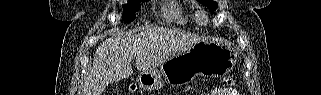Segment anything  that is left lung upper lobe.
Masks as SVG:
<instances>
[{"instance_id":"obj_1","label":"left lung upper lobe","mask_w":321,"mask_h":95,"mask_svg":"<svg viewBox=\"0 0 321 95\" xmlns=\"http://www.w3.org/2000/svg\"><path fill=\"white\" fill-rule=\"evenodd\" d=\"M197 1L203 5H206L207 7H209L213 11H215L218 7L217 2H215L213 0H197Z\"/></svg>"}]
</instances>
